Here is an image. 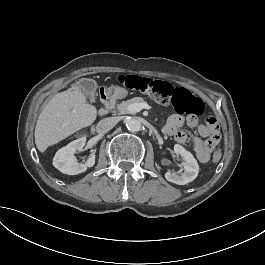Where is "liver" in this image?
I'll list each match as a JSON object with an SVG mask.
<instances>
[{"label": "liver", "instance_id": "liver-1", "mask_svg": "<svg viewBox=\"0 0 265 265\" xmlns=\"http://www.w3.org/2000/svg\"><path fill=\"white\" fill-rule=\"evenodd\" d=\"M96 108L86 103L77 84L57 93L40 113L35 127V144L40 152L90 126L96 119Z\"/></svg>", "mask_w": 265, "mask_h": 265}]
</instances>
